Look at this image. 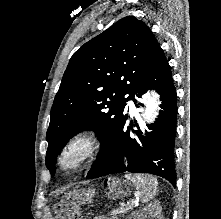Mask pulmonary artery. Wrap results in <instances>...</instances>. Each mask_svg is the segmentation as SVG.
I'll list each match as a JSON object with an SVG mask.
<instances>
[{
  "label": "pulmonary artery",
  "instance_id": "pulmonary-artery-1",
  "mask_svg": "<svg viewBox=\"0 0 221 219\" xmlns=\"http://www.w3.org/2000/svg\"><path fill=\"white\" fill-rule=\"evenodd\" d=\"M128 104H129L131 109H134V104H133V101L131 99H129Z\"/></svg>",
  "mask_w": 221,
  "mask_h": 219
}]
</instances>
